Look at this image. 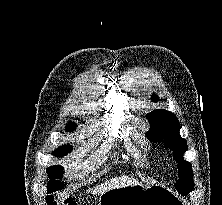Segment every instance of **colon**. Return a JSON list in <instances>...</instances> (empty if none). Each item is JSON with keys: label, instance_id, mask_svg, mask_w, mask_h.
Listing matches in <instances>:
<instances>
[{"label": "colon", "instance_id": "colon-1", "mask_svg": "<svg viewBox=\"0 0 222 205\" xmlns=\"http://www.w3.org/2000/svg\"><path fill=\"white\" fill-rule=\"evenodd\" d=\"M47 204L48 205H77L76 203L69 201V200H64L62 202H57L52 195H49L47 197Z\"/></svg>", "mask_w": 222, "mask_h": 205}]
</instances>
